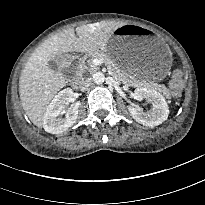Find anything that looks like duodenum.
<instances>
[{
    "mask_svg": "<svg viewBox=\"0 0 205 205\" xmlns=\"http://www.w3.org/2000/svg\"><path fill=\"white\" fill-rule=\"evenodd\" d=\"M79 81H80V77H79L78 74H76L75 80H74V84H75V85H78V84H79Z\"/></svg>",
    "mask_w": 205,
    "mask_h": 205,
    "instance_id": "obj_1",
    "label": "duodenum"
}]
</instances>
